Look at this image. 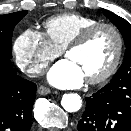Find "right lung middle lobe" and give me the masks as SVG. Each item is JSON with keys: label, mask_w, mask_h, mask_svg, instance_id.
Wrapping results in <instances>:
<instances>
[{"label": "right lung middle lobe", "mask_w": 131, "mask_h": 131, "mask_svg": "<svg viewBox=\"0 0 131 131\" xmlns=\"http://www.w3.org/2000/svg\"><path fill=\"white\" fill-rule=\"evenodd\" d=\"M27 14L20 11L6 15H0V57L12 58L11 39L14 27Z\"/></svg>", "instance_id": "right-lung-middle-lobe-1"}]
</instances>
